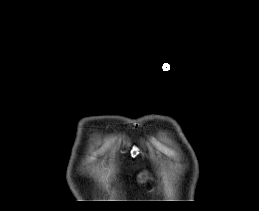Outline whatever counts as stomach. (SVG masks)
Listing matches in <instances>:
<instances>
[{
  "label": "stomach",
  "mask_w": 259,
  "mask_h": 211,
  "mask_svg": "<svg viewBox=\"0 0 259 211\" xmlns=\"http://www.w3.org/2000/svg\"><path fill=\"white\" fill-rule=\"evenodd\" d=\"M148 178L147 174L146 173H143L139 176V179L141 182L145 181L146 179Z\"/></svg>",
  "instance_id": "stomach-1"
}]
</instances>
